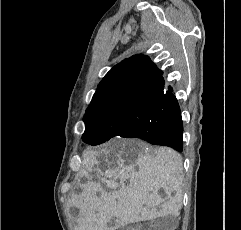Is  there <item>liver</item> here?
Segmentation results:
<instances>
[{
  "instance_id": "liver-1",
  "label": "liver",
  "mask_w": 241,
  "mask_h": 230,
  "mask_svg": "<svg viewBox=\"0 0 241 230\" xmlns=\"http://www.w3.org/2000/svg\"><path fill=\"white\" fill-rule=\"evenodd\" d=\"M131 151L138 157L126 162L125 156ZM101 153V160L92 152L85 154L83 176L87 177V184L82 185L81 194L73 193L69 200L70 206L80 210L76 230H110L108 223L114 218L123 226L164 215H179L183 162L176 151L167 147H146L145 153H140L122 144L120 149L106 147ZM94 165L96 168L92 169ZM91 173L97 177V182L92 181ZM108 178L120 180L117 190L107 192L103 188L100 181ZM160 189L168 195L175 191L176 195L162 199L158 194ZM156 204L161 205L160 210L154 208Z\"/></svg>"
}]
</instances>
